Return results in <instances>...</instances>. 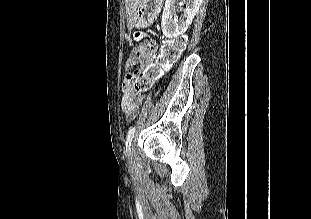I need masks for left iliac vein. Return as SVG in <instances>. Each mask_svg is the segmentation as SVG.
Here are the masks:
<instances>
[{"mask_svg":"<svg viewBox=\"0 0 311 219\" xmlns=\"http://www.w3.org/2000/svg\"><path fill=\"white\" fill-rule=\"evenodd\" d=\"M132 157H133V151H132V148H130L129 152H128V158L130 160H132Z\"/></svg>","mask_w":311,"mask_h":219,"instance_id":"1","label":"left iliac vein"}]
</instances>
